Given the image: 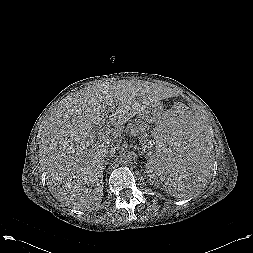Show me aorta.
<instances>
[{
    "label": "aorta",
    "mask_w": 253,
    "mask_h": 253,
    "mask_svg": "<svg viewBox=\"0 0 253 253\" xmlns=\"http://www.w3.org/2000/svg\"><path fill=\"white\" fill-rule=\"evenodd\" d=\"M118 158H119L120 162H122L123 164H127V163H130L131 161H133L134 153L123 149L119 152Z\"/></svg>",
    "instance_id": "aorta-1"
}]
</instances>
